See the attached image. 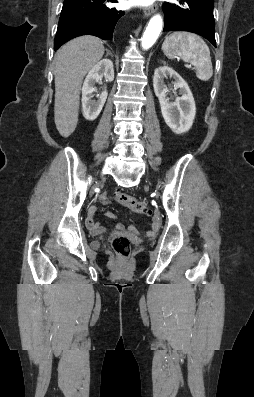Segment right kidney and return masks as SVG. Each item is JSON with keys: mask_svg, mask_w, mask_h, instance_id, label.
Instances as JSON below:
<instances>
[{"mask_svg": "<svg viewBox=\"0 0 254 397\" xmlns=\"http://www.w3.org/2000/svg\"><path fill=\"white\" fill-rule=\"evenodd\" d=\"M105 77L106 81L114 80L113 62L110 59H103L89 71L82 87V110L83 116L89 121L95 120L100 114L107 99V91L97 95L98 100H93L95 84Z\"/></svg>", "mask_w": 254, "mask_h": 397, "instance_id": "right-kidney-1", "label": "right kidney"}]
</instances>
